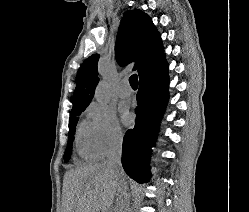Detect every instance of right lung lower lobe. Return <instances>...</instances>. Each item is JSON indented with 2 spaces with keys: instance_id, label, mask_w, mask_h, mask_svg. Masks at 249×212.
I'll use <instances>...</instances> for the list:
<instances>
[{
  "instance_id": "obj_1",
  "label": "right lung lower lobe",
  "mask_w": 249,
  "mask_h": 212,
  "mask_svg": "<svg viewBox=\"0 0 249 212\" xmlns=\"http://www.w3.org/2000/svg\"><path fill=\"white\" fill-rule=\"evenodd\" d=\"M168 83V64L165 56L139 75L135 126L127 130L122 147L124 170L138 183L149 181V148L156 139L169 98Z\"/></svg>"
}]
</instances>
